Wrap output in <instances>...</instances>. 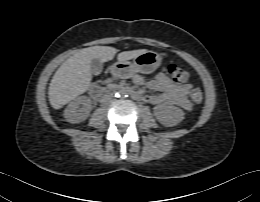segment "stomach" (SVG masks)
Listing matches in <instances>:
<instances>
[{"label": "stomach", "mask_w": 260, "mask_h": 202, "mask_svg": "<svg viewBox=\"0 0 260 202\" xmlns=\"http://www.w3.org/2000/svg\"><path fill=\"white\" fill-rule=\"evenodd\" d=\"M161 60L160 55L156 52L147 51L135 57L132 62L120 61L114 64L113 74L122 79L130 78L137 72L148 74L160 66Z\"/></svg>", "instance_id": "obj_1"}]
</instances>
